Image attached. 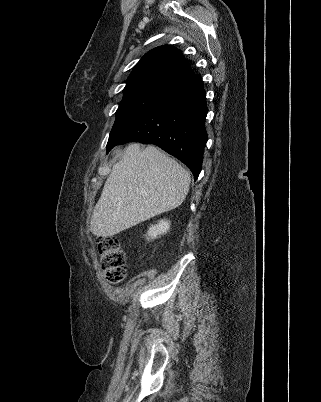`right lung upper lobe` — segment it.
Here are the masks:
<instances>
[{"mask_svg":"<svg viewBox=\"0 0 321 402\" xmlns=\"http://www.w3.org/2000/svg\"><path fill=\"white\" fill-rule=\"evenodd\" d=\"M194 75L180 50L166 45L150 50L136 64L124 90L151 83L174 87Z\"/></svg>","mask_w":321,"mask_h":402,"instance_id":"cb5924a9","label":"right lung upper lobe"}]
</instances>
